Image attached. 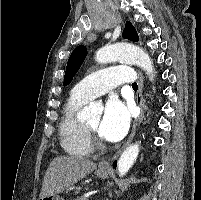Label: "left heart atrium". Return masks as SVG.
I'll return each instance as SVG.
<instances>
[{"mask_svg":"<svg viewBox=\"0 0 201 200\" xmlns=\"http://www.w3.org/2000/svg\"><path fill=\"white\" fill-rule=\"evenodd\" d=\"M131 122L130 110L118 99L109 100L99 128V135L110 142L121 140L128 132Z\"/></svg>","mask_w":201,"mask_h":200,"instance_id":"left-heart-atrium-1","label":"left heart atrium"}]
</instances>
